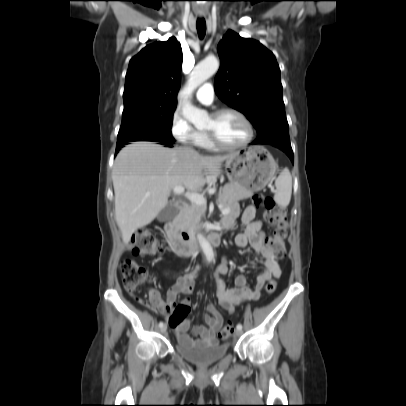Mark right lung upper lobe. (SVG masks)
Masks as SVG:
<instances>
[{"label": "right lung upper lobe", "instance_id": "cb5924a9", "mask_svg": "<svg viewBox=\"0 0 406 406\" xmlns=\"http://www.w3.org/2000/svg\"><path fill=\"white\" fill-rule=\"evenodd\" d=\"M182 60V49L175 37L143 48L129 63L124 108L176 107Z\"/></svg>", "mask_w": 406, "mask_h": 406}]
</instances>
